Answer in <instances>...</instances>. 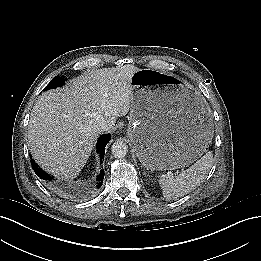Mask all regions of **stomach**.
<instances>
[{
	"instance_id": "0dacf381",
	"label": "stomach",
	"mask_w": 261,
	"mask_h": 261,
	"mask_svg": "<svg viewBox=\"0 0 261 261\" xmlns=\"http://www.w3.org/2000/svg\"><path fill=\"white\" fill-rule=\"evenodd\" d=\"M194 90L171 75L140 69L132 79L128 137L144 167L173 170L196 161L212 132Z\"/></svg>"
}]
</instances>
